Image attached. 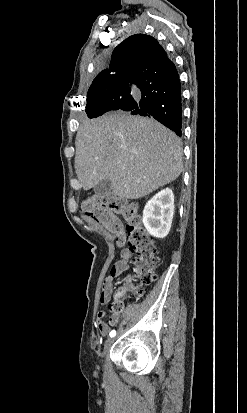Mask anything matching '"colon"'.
Wrapping results in <instances>:
<instances>
[{"mask_svg":"<svg viewBox=\"0 0 247 413\" xmlns=\"http://www.w3.org/2000/svg\"><path fill=\"white\" fill-rule=\"evenodd\" d=\"M85 213L106 230L111 231L119 243L124 237V230L128 236L129 250L133 256L135 280L126 276L129 284L117 291L120 295V304H110V311L119 314L124 310V295L128 291L132 297L139 298L142 294L141 286H148L155 280L153 268L158 263V256L151 236L144 230L141 214L137 204L127 203L112 195L94 196L83 204ZM122 221L127 223L124 228Z\"/></svg>","mask_w":247,"mask_h":413,"instance_id":"1","label":"colon"}]
</instances>
